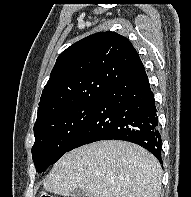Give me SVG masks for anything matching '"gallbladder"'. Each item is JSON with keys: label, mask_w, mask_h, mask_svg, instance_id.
<instances>
[{"label": "gallbladder", "mask_w": 191, "mask_h": 197, "mask_svg": "<svg viewBox=\"0 0 191 197\" xmlns=\"http://www.w3.org/2000/svg\"><path fill=\"white\" fill-rule=\"evenodd\" d=\"M69 197H91V196L81 189H75L70 193Z\"/></svg>", "instance_id": "1"}]
</instances>
